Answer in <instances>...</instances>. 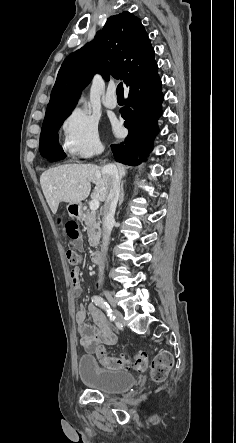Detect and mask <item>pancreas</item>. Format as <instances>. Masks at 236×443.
I'll list each match as a JSON object with an SVG mask.
<instances>
[{
  "label": "pancreas",
  "mask_w": 236,
  "mask_h": 443,
  "mask_svg": "<svg viewBox=\"0 0 236 443\" xmlns=\"http://www.w3.org/2000/svg\"><path fill=\"white\" fill-rule=\"evenodd\" d=\"M82 220L85 222L86 225L88 241L90 246L97 247L100 243V238H101L100 219L97 217L95 212L87 211Z\"/></svg>",
  "instance_id": "obj_1"
}]
</instances>
